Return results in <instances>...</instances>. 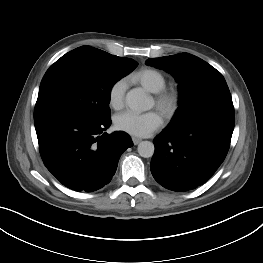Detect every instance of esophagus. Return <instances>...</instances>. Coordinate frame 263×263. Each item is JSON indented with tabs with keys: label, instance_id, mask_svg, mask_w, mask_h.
Segmentation results:
<instances>
[{
	"label": "esophagus",
	"instance_id": "esophagus-1",
	"mask_svg": "<svg viewBox=\"0 0 263 263\" xmlns=\"http://www.w3.org/2000/svg\"><path fill=\"white\" fill-rule=\"evenodd\" d=\"M142 139L138 138V137H132V141L134 143V145H137L141 142Z\"/></svg>",
	"mask_w": 263,
	"mask_h": 263
}]
</instances>
